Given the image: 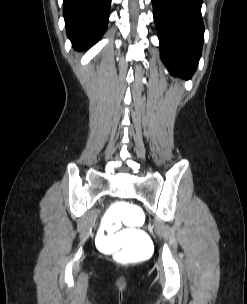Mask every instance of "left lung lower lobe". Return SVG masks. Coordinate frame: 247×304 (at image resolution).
I'll return each instance as SVG.
<instances>
[{"instance_id":"0a47b994","label":"left lung lower lobe","mask_w":247,"mask_h":304,"mask_svg":"<svg viewBox=\"0 0 247 304\" xmlns=\"http://www.w3.org/2000/svg\"><path fill=\"white\" fill-rule=\"evenodd\" d=\"M203 0H152L160 55L170 73L191 78L202 53Z\"/></svg>"}]
</instances>
